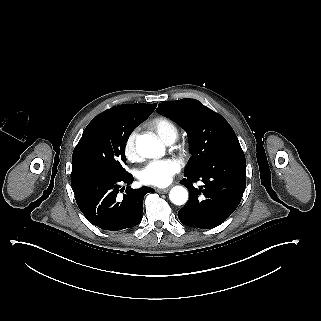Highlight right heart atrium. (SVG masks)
<instances>
[{
    "label": "right heart atrium",
    "mask_w": 321,
    "mask_h": 321,
    "mask_svg": "<svg viewBox=\"0 0 321 321\" xmlns=\"http://www.w3.org/2000/svg\"><path fill=\"white\" fill-rule=\"evenodd\" d=\"M137 135L138 131L136 129L131 130L123 143V152L128 160L134 161L142 156V153L137 147Z\"/></svg>",
    "instance_id": "d8ad5b80"
}]
</instances>
